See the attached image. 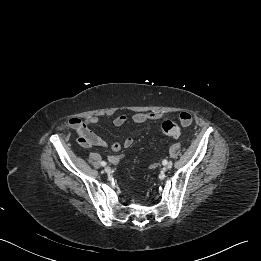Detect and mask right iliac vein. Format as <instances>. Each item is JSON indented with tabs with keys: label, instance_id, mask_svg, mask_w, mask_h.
<instances>
[{
	"label": "right iliac vein",
	"instance_id": "right-iliac-vein-1",
	"mask_svg": "<svg viewBox=\"0 0 261 261\" xmlns=\"http://www.w3.org/2000/svg\"><path fill=\"white\" fill-rule=\"evenodd\" d=\"M104 170H105L106 173H110L111 172V168L109 166H106L104 168Z\"/></svg>",
	"mask_w": 261,
	"mask_h": 261
}]
</instances>
